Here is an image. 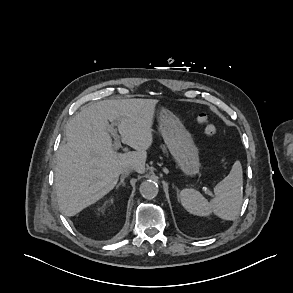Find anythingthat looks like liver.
<instances>
[{"mask_svg": "<svg viewBox=\"0 0 293 293\" xmlns=\"http://www.w3.org/2000/svg\"><path fill=\"white\" fill-rule=\"evenodd\" d=\"M154 99L105 100L85 106L66 125L67 143L59 147L55 188L60 210L74 216L108 194L123 167L145 172L153 142ZM117 125L122 143L136 151L117 153L109 134Z\"/></svg>", "mask_w": 293, "mask_h": 293, "instance_id": "6515ba94", "label": "liver"}]
</instances>
